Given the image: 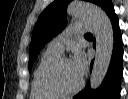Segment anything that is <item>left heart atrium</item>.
Segmentation results:
<instances>
[{"instance_id": "left-heart-atrium-1", "label": "left heart atrium", "mask_w": 128, "mask_h": 99, "mask_svg": "<svg viewBox=\"0 0 128 99\" xmlns=\"http://www.w3.org/2000/svg\"><path fill=\"white\" fill-rule=\"evenodd\" d=\"M72 64L77 73L82 77L86 70V60L81 52H76Z\"/></svg>"}]
</instances>
